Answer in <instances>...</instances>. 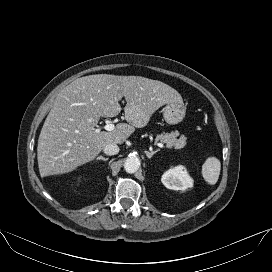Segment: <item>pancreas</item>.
Masks as SVG:
<instances>
[{"instance_id":"pancreas-1","label":"pancreas","mask_w":272,"mask_h":272,"mask_svg":"<svg viewBox=\"0 0 272 272\" xmlns=\"http://www.w3.org/2000/svg\"><path fill=\"white\" fill-rule=\"evenodd\" d=\"M178 132L164 133L156 136V141H160L162 143H166L167 146H174L177 149H181L186 145V137L181 135L179 138Z\"/></svg>"}]
</instances>
